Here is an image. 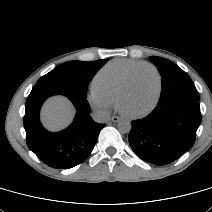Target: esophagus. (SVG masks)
<instances>
[{"instance_id":"1","label":"esophagus","mask_w":212,"mask_h":212,"mask_svg":"<svg viewBox=\"0 0 212 212\" xmlns=\"http://www.w3.org/2000/svg\"><path fill=\"white\" fill-rule=\"evenodd\" d=\"M111 120L116 123V122H118L120 120V118L118 116H113L111 118Z\"/></svg>"}]
</instances>
